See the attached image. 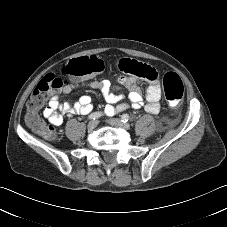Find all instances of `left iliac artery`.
I'll use <instances>...</instances> for the list:
<instances>
[{
	"mask_svg": "<svg viewBox=\"0 0 227 227\" xmlns=\"http://www.w3.org/2000/svg\"><path fill=\"white\" fill-rule=\"evenodd\" d=\"M122 122H124V123H126V122H128L129 121V119H130V117H129V115L128 114H124V115H122Z\"/></svg>",
	"mask_w": 227,
	"mask_h": 227,
	"instance_id": "obj_1",
	"label": "left iliac artery"
}]
</instances>
